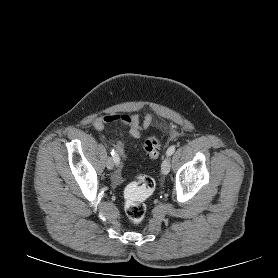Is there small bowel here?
I'll return each mask as SVG.
<instances>
[{"label": "small bowel", "instance_id": "c3829d8e", "mask_svg": "<svg viewBox=\"0 0 278 278\" xmlns=\"http://www.w3.org/2000/svg\"><path fill=\"white\" fill-rule=\"evenodd\" d=\"M152 115L146 114L143 119L137 114H108L97 118L93 122V127L96 131H102L107 125L122 124L128 128V133L133 139H140L142 131L147 129L152 123ZM112 145L116 149L118 156L126 159L127 154L124 146L120 142L112 141ZM115 181H120V176H115Z\"/></svg>", "mask_w": 278, "mask_h": 278}]
</instances>
